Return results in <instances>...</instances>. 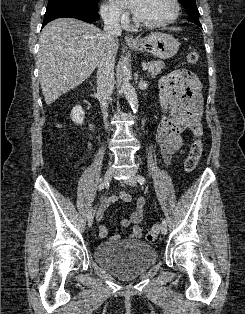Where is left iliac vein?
Returning a JSON list of instances; mask_svg holds the SVG:
<instances>
[{"label":"left iliac vein","instance_id":"obj_1","mask_svg":"<svg viewBox=\"0 0 245 314\" xmlns=\"http://www.w3.org/2000/svg\"><path fill=\"white\" fill-rule=\"evenodd\" d=\"M124 181L126 184H128L130 186H137L136 178L133 176L126 178ZM161 233L164 235L167 233V227L164 224H161Z\"/></svg>","mask_w":245,"mask_h":314}]
</instances>
